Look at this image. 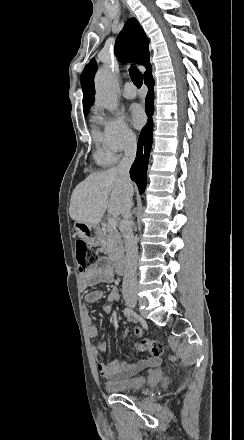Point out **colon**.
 I'll return each instance as SVG.
<instances>
[{"instance_id": "colon-1", "label": "colon", "mask_w": 244, "mask_h": 440, "mask_svg": "<svg viewBox=\"0 0 244 440\" xmlns=\"http://www.w3.org/2000/svg\"><path fill=\"white\" fill-rule=\"evenodd\" d=\"M75 253L77 261V269L79 272H84L90 266L96 265L99 261V254L95 249H88L86 242L78 240L75 244ZM141 330L135 329V336L140 341L139 347L142 353L150 354L155 358L163 357L165 350L160 341L151 340L148 338L140 339Z\"/></svg>"}]
</instances>
